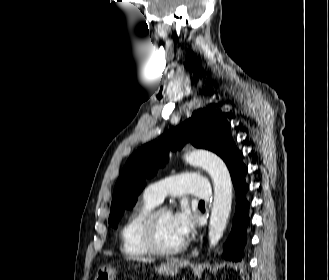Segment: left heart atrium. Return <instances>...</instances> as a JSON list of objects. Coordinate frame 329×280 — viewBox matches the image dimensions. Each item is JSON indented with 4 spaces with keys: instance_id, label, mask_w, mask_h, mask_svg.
<instances>
[{
    "instance_id": "obj_1",
    "label": "left heart atrium",
    "mask_w": 329,
    "mask_h": 280,
    "mask_svg": "<svg viewBox=\"0 0 329 280\" xmlns=\"http://www.w3.org/2000/svg\"><path fill=\"white\" fill-rule=\"evenodd\" d=\"M175 229L182 241L190 238L195 230L196 220L190 210L183 206L171 214Z\"/></svg>"
}]
</instances>
